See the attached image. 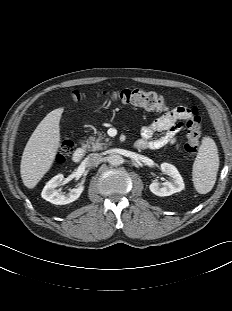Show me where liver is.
<instances>
[{
	"label": "liver",
	"instance_id": "obj_1",
	"mask_svg": "<svg viewBox=\"0 0 232 311\" xmlns=\"http://www.w3.org/2000/svg\"><path fill=\"white\" fill-rule=\"evenodd\" d=\"M64 108L48 113L29 138L20 164L23 184L33 189L52 167L60 147V119Z\"/></svg>",
	"mask_w": 232,
	"mask_h": 311
}]
</instances>
